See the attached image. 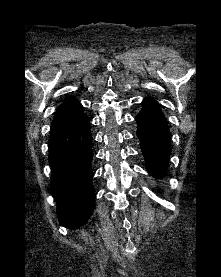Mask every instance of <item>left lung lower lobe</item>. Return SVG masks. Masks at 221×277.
Wrapping results in <instances>:
<instances>
[{"label": "left lung lower lobe", "instance_id": "obj_1", "mask_svg": "<svg viewBox=\"0 0 221 277\" xmlns=\"http://www.w3.org/2000/svg\"><path fill=\"white\" fill-rule=\"evenodd\" d=\"M142 104L143 108L136 116L137 136L140 139L148 172L154 177L161 178L168 168L171 151L170 132L158 103L152 99H145Z\"/></svg>", "mask_w": 221, "mask_h": 277}]
</instances>
